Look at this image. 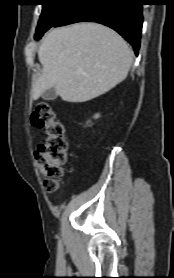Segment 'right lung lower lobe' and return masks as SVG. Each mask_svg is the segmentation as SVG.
<instances>
[{"instance_id":"obj_1","label":"right lung lower lobe","mask_w":174,"mask_h":278,"mask_svg":"<svg viewBox=\"0 0 174 278\" xmlns=\"http://www.w3.org/2000/svg\"><path fill=\"white\" fill-rule=\"evenodd\" d=\"M142 5V0H74L53 26L81 21L104 24L122 35L138 55L143 23ZM43 33L36 38H41Z\"/></svg>"}]
</instances>
